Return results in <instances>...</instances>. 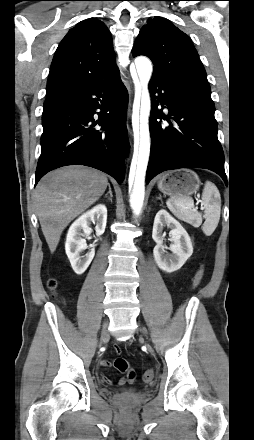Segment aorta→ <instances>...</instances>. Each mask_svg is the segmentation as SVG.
I'll use <instances>...</instances> for the list:
<instances>
[{"label": "aorta", "mask_w": 254, "mask_h": 440, "mask_svg": "<svg viewBox=\"0 0 254 440\" xmlns=\"http://www.w3.org/2000/svg\"><path fill=\"white\" fill-rule=\"evenodd\" d=\"M135 66L142 91L140 100L133 106L132 126L134 130V154L129 174L130 206L134 216L142 211L145 197V175L150 155V133L148 118L151 109L148 83L152 75V63L144 56L135 59Z\"/></svg>", "instance_id": "762f6f07"}]
</instances>
